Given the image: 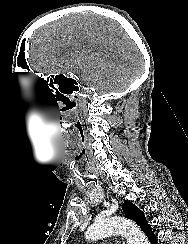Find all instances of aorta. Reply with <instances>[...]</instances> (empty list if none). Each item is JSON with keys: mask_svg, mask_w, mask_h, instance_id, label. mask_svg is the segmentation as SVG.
Returning a JSON list of instances; mask_svg holds the SVG:
<instances>
[{"mask_svg": "<svg viewBox=\"0 0 188 244\" xmlns=\"http://www.w3.org/2000/svg\"><path fill=\"white\" fill-rule=\"evenodd\" d=\"M116 234L124 235L128 244H149L134 222L121 217H112L93 224L85 232V237L88 240H98Z\"/></svg>", "mask_w": 188, "mask_h": 244, "instance_id": "762f6f07", "label": "aorta"}]
</instances>
